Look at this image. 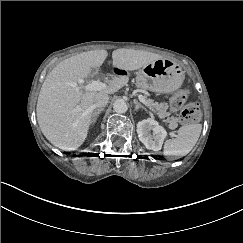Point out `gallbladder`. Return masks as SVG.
<instances>
[{"instance_id":"1","label":"gallbladder","mask_w":243,"mask_h":243,"mask_svg":"<svg viewBox=\"0 0 243 243\" xmlns=\"http://www.w3.org/2000/svg\"><path fill=\"white\" fill-rule=\"evenodd\" d=\"M97 71H98L97 68H93V69H92V73H93V74L97 73Z\"/></svg>"}]
</instances>
